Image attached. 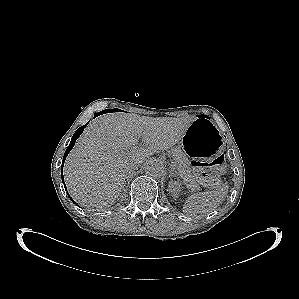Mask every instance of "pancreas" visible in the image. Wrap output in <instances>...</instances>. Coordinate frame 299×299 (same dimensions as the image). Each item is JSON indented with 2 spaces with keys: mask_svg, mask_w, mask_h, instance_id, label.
<instances>
[{
  "mask_svg": "<svg viewBox=\"0 0 299 299\" xmlns=\"http://www.w3.org/2000/svg\"><path fill=\"white\" fill-rule=\"evenodd\" d=\"M174 154V166L179 176L187 184V187L191 190H199L198 179L194 176L192 168L190 166L189 159L186 154L179 148L172 149Z\"/></svg>",
  "mask_w": 299,
  "mask_h": 299,
  "instance_id": "obj_1",
  "label": "pancreas"
}]
</instances>
